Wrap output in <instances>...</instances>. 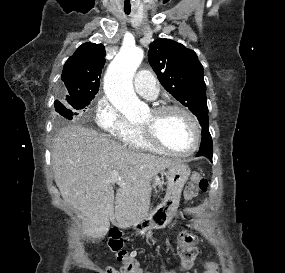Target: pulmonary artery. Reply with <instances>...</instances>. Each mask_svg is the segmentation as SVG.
Segmentation results:
<instances>
[{
    "label": "pulmonary artery",
    "instance_id": "1",
    "mask_svg": "<svg viewBox=\"0 0 285 273\" xmlns=\"http://www.w3.org/2000/svg\"><path fill=\"white\" fill-rule=\"evenodd\" d=\"M135 90L147 99H155L159 93V85L153 74L146 70H139L134 77Z\"/></svg>",
    "mask_w": 285,
    "mask_h": 273
}]
</instances>
